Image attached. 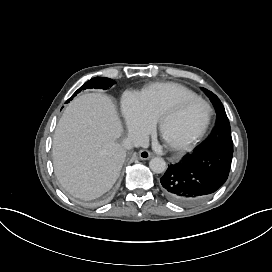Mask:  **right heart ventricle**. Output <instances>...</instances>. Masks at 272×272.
<instances>
[{
    "mask_svg": "<svg viewBox=\"0 0 272 272\" xmlns=\"http://www.w3.org/2000/svg\"><path fill=\"white\" fill-rule=\"evenodd\" d=\"M144 110L153 118L161 117L177 99L195 97L187 88L174 83L154 84L137 94Z\"/></svg>",
    "mask_w": 272,
    "mask_h": 272,
    "instance_id": "obj_1",
    "label": "right heart ventricle"
}]
</instances>
